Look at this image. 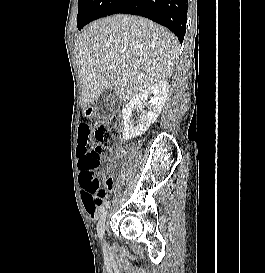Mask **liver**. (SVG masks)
Instances as JSON below:
<instances>
[{
  "label": "liver",
  "instance_id": "obj_1",
  "mask_svg": "<svg viewBox=\"0 0 265 273\" xmlns=\"http://www.w3.org/2000/svg\"><path fill=\"white\" fill-rule=\"evenodd\" d=\"M179 48L173 33L143 17L118 14L91 23L74 47L82 107H89L109 87L123 101L168 79Z\"/></svg>",
  "mask_w": 265,
  "mask_h": 273
}]
</instances>
